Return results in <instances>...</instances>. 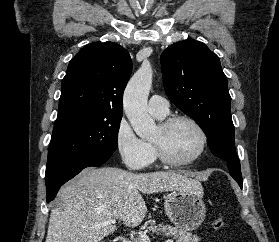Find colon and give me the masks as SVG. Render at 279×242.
<instances>
[{"mask_svg":"<svg viewBox=\"0 0 279 242\" xmlns=\"http://www.w3.org/2000/svg\"><path fill=\"white\" fill-rule=\"evenodd\" d=\"M212 224H213V227L219 231L223 230L226 226L224 219L221 217L215 218ZM102 242H107V241H102Z\"/></svg>","mask_w":279,"mask_h":242,"instance_id":"5ec220e1","label":"colon"}]
</instances>
